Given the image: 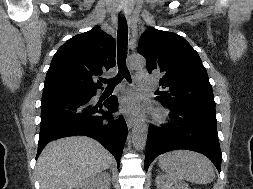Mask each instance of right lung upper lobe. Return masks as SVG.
<instances>
[{"mask_svg":"<svg viewBox=\"0 0 253 189\" xmlns=\"http://www.w3.org/2000/svg\"><path fill=\"white\" fill-rule=\"evenodd\" d=\"M114 39L95 26L64 43L54 55L43 92L54 90L96 91V76L115 66Z\"/></svg>","mask_w":253,"mask_h":189,"instance_id":"1","label":"right lung upper lobe"}]
</instances>
